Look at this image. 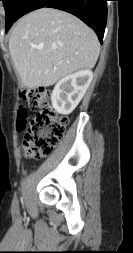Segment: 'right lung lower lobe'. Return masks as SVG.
I'll use <instances>...</instances> for the list:
<instances>
[{"label": "right lung lower lobe", "mask_w": 133, "mask_h": 253, "mask_svg": "<svg viewBox=\"0 0 133 253\" xmlns=\"http://www.w3.org/2000/svg\"><path fill=\"white\" fill-rule=\"evenodd\" d=\"M106 3L107 0H24L17 19L42 7L60 9L77 16L91 27L102 43L107 21Z\"/></svg>", "instance_id": "98d812e1"}]
</instances>
